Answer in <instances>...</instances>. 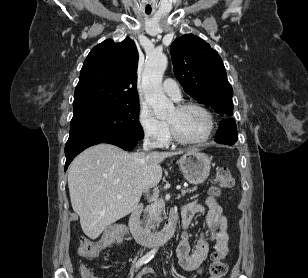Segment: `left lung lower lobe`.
Segmentation results:
<instances>
[{
  "label": "left lung lower lobe",
  "mask_w": 308,
  "mask_h": 278,
  "mask_svg": "<svg viewBox=\"0 0 308 278\" xmlns=\"http://www.w3.org/2000/svg\"><path fill=\"white\" fill-rule=\"evenodd\" d=\"M237 128L234 119L221 122L216 133V142L219 144L233 145L237 141Z\"/></svg>",
  "instance_id": "1"
}]
</instances>
